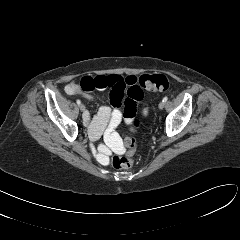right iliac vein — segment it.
Returning a JSON list of instances; mask_svg holds the SVG:
<instances>
[{"mask_svg": "<svg viewBox=\"0 0 240 240\" xmlns=\"http://www.w3.org/2000/svg\"><path fill=\"white\" fill-rule=\"evenodd\" d=\"M79 108H80V110H81L82 112L85 111V105H84V104H80V105H79Z\"/></svg>", "mask_w": 240, "mask_h": 240, "instance_id": "1", "label": "right iliac vein"}]
</instances>
